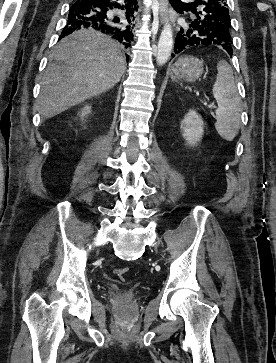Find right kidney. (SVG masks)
Listing matches in <instances>:
<instances>
[{
    "label": "right kidney",
    "mask_w": 276,
    "mask_h": 363,
    "mask_svg": "<svg viewBox=\"0 0 276 363\" xmlns=\"http://www.w3.org/2000/svg\"><path fill=\"white\" fill-rule=\"evenodd\" d=\"M91 112V108L89 106H86L83 108L82 112H81V117H85L87 114H89Z\"/></svg>",
    "instance_id": "ca27d5eb"
}]
</instances>
